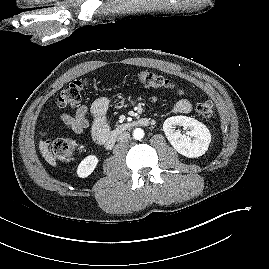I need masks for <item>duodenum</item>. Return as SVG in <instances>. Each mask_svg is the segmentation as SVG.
<instances>
[{"label":"duodenum","instance_id":"1","mask_svg":"<svg viewBox=\"0 0 269 269\" xmlns=\"http://www.w3.org/2000/svg\"><path fill=\"white\" fill-rule=\"evenodd\" d=\"M149 124L150 120L148 118H139L134 121L121 124L117 129L107 134L104 144L107 149H111L116 143L119 135L127 129L138 126H148Z\"/></svg>","mask_w":269,"mask_h":269}]
</instances>
